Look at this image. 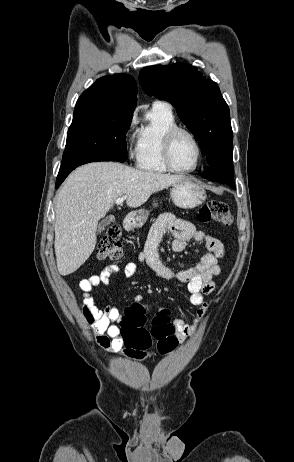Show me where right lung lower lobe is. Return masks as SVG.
I'll list each match as a JSON object with an SVG mask.
<instances>
[{
	"instance_id": "right-lung-lower-lobe-1",
	"label": "right lung lower lobe",
	"mask_w": 294,
	"mask_h": 462,
	"mask_svg": "<svg viewBox=\"0 0 294 462\" xmlns=\"http://www.w3.org/2000/svg\"><path fill=\"white\" fill-rule=\"evenodd\" d=\"M78 167V166H76ZM76 167H71L65 170H60L56 179V185L55 188H58L61 183L65 180V178L72 172Z\"/></svg>"
}]
</instances>
